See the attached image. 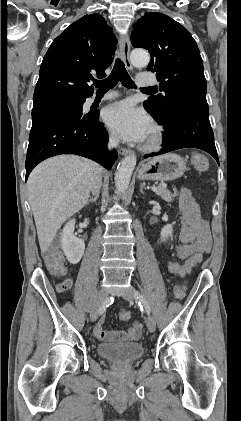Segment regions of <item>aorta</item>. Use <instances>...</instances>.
Instances as JSON below:
<instances>
[{
  "instance_id": "762f6f07",
  "label": "aorta",
  "mask_w": 241,
  "mask_h": 421,
  "mask_svg": "<svg viewBox=\"0 0 241 421\" xmlns=\"http://www.w3.org/2000/svg\"><path fill=\"white\" fill-rule=\"evenodd\" d=\"M134 66L144 67L149 64L150 55L144 49H134L130 56ZM137 158L134 154L125 157L117 168L115 174V187L118 193L124 194L129 187L131 175L136 165Z\"/></svg>"
}]
</instances>
